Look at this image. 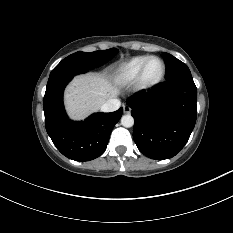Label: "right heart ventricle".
<instances>
[{
  "label": "right heart ventricle",
  "instance_id": "right-heart-ventricle-1",
  "mask_svg": "<svg viewBox=\"0 0 233 233\" xmlns=\"http://www.w3.org/2000/svg\"><path fill=\"white\" fill-rule=\"evenodd\" d=\"M149 56H136L126 62L121 63L115 69V80L120 84H130L134 82L138 73Z\"/></svg>",
  "mask_w": 233,
  "mask_h": 233
}]
</instances>
